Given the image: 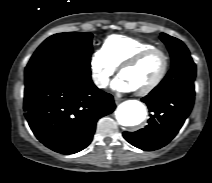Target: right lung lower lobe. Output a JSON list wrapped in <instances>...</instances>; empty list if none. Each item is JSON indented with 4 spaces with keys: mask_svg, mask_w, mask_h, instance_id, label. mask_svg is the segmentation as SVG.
Wrapping results in <instances>:
<instances>
[{
    "mask_svg": "<svg viewBox=\"0 0 212 183\" xmlns=\"http://www.w3.org/2000/svg\"><path fill=\"white\" fill-rule=\"evenodd\" d=\"M115 107L112 95L93 84L90 69H25V117L37 139L53 151L73 154L86 148L98 119Z\"/></svg>",
    "mask_w": 212,
    "mask_h": 183,
    "instance_id": "1",
    "label": "right lung lower lobe"
}]
</instances>
